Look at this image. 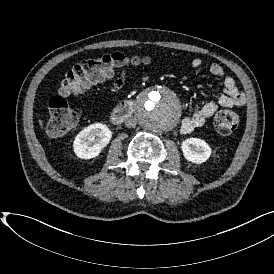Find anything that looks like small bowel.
Returning <instances> with one entry per match:
<instances>
[{
    "label": "small bowel",
    "mask_w": 274,
    "mask_h": 274,
    "mask_svg": "<svg viewBox=\"0 0 274 274\" xmlns=\"http://www.w3.org/2000/svg\"><path fill=\"white\" fill-rule=\"evenodd\" d=\"M203 64V59L199 57H196L191 61V66L194 69L201 68ZM209 72L215 77L223 78L222 86L224 94H222L215 101H208L204 103L192 115L185 117L181 122V131L184 134H190L196 128L203 126L219 107L232 108L242 106L246 102V96L244 92L238 88L235 80L232 77L224 75V69L221 65L212 63L209 66ZM125 81L126 73L122 71L113 81L109 82L108 88L111 91H118L124 86Z\"/></svg>",
    "instance_id": "1"
}]
</instances>
